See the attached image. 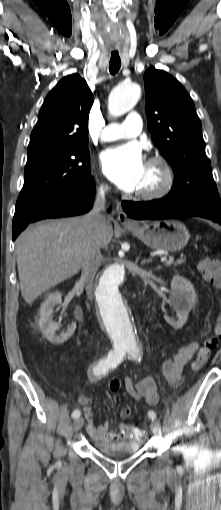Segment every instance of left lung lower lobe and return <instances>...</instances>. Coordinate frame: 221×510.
<instances>
[{"instance_id": "left-lung-lower-lobe-1", "label": "left lung lower lobe", "mask_w": 221, "mask_h": 510, "mask_svg": "<svg viewBox=\"0 0 221 510\" xmlns=\"http://www.w3.org/2000/svg\"><path fill=\"white\" fill-rule=\"evenodd\" d=\"M123 209L135 219H169L199 216L221 224V204L207 202H179L166 198L148 202L123 201Z\"/></svg>"}]
</instances>
